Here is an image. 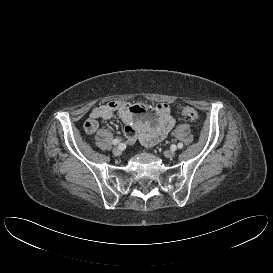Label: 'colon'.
<instances>
[{"instance_id":"colon-1","label":"colon","mask_w":273,"mask_h":273,"mask_svg":"<svg viewBox=\"0 0 273 273\" xmlns=\"http://www.w3.org/2000/svg\"><path fill=\"white\" fill-rule=\"evenodd\" d=\"M181 114L189 121H197L199 117L197 110L190 106L182 107Z\"/></svg>"}]
</instances>
